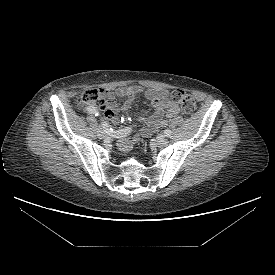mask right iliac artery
I'll return each instance as SVG.
<instances>
[{"label": "right iliac artery", "mask_w": 275, "mask_h": 275, "mask_svg": "<svg viewBox=\"0 0 275 275\" xmlns=\"http://www.w3.org/2000/svg\"><path fill=\"white\" fill-rule=\"evenodd\" d=\"M86 110H87L88 113L94 114L96 117L99 116L98 111L93 106L87 107ZM102 127L105 129V132L108 135H111V136L116 137V138L126 137L131 132V128H129V127H126L124 129H120V130L115 131L112 128H109L108 124L105 123V122L102 123Z\"/></svg>", "instance_id": "1"}]
</instances>
